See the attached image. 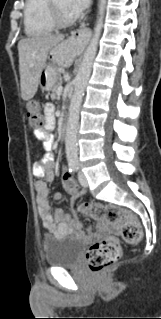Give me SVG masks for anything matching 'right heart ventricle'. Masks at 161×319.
<instances>
[{
    "instance_id": "1",
    "label": "right heart ventricle",
    "mask_w": 161,
    "mask_h": 319,
    "mask_svg": "<svg viewBox=\"0 0 161 319\" xmlns=\"http://www.w3.org/2000/svg\"><path fill=\"white\" fill-rule=\"evenodd\" d=\"M55 29L49 11V0H26L24 31L31 38L48 35Z\"/></svg>"
}]
</instances>
